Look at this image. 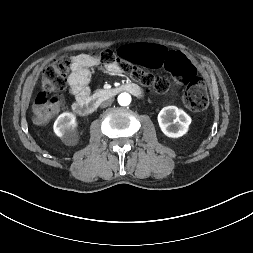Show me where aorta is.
Wrapping results in <instances>:
<instances>
[{
    "instance_id": "762f6f07",
    "label": "aorta",
    "mask_w": 253,
    "mask_h": 253,
    "mask_svg": "<svg viewBox=\"0 0 253 253\" xmlns=\"http://www.w3.org/2000/svg\"><path fill=\"white\" fill-rule=\"evenodd\" d=\"M118 103L121 106H128L131 103V96L128 93H121L118 96Z\"/></svg>"
}]
</instances>
